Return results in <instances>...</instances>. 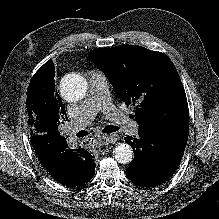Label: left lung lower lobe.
I'll list each match as a JSON object with an SVG mask.
<instances>
[{"label":"left lung lower lobe","instance_id":"left-lung-lower-lobe-1","mask_svg":"<svg viewBox=\"0 0 219 219\" xmlns=\"http://www.w3.org/2000/svg\"><path fill=\"white\" fill-rule=\"evenodd\" d=\"M124 139L134 150V160L126 169L127 177L147 188L164 183L175 173L186 147V142H175L153 133Z\"/></svg>","mask_w":219,"mask_h":219}]
</instances>
